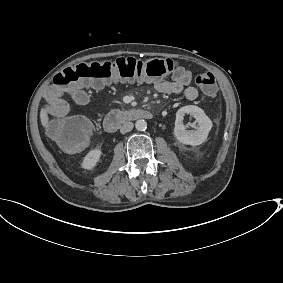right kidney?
I'll list each match as a JSON object with an SVG mask.
<instances>
[{"label":"right kidney","instance_id":"ca27d5eb","mask_svg":"<svg viewBox=\"0 0 283 283\" xmlns=\"http://www.w3.org/2000/svg\"><path fill=\"white\" fill-rule=\"evenodd\" d=\"M101 156H102V149L97 148L90 150L84 156L81 162V168L88 171L93 170L97 166Z\"/></svg>","mask_w":283,"mask_h":283}]
</instances>
